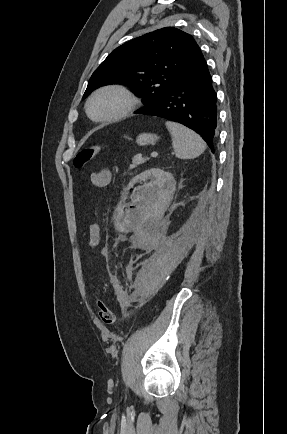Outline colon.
I'll list each match as a JSON object with an SVG mask.
<instances>
[{"mask_svg":"<svg viewBox=\"0 0 287 434\" xmlns=\"http://www.w3.org/2000/svg\"><path fill=\"white\" fill-rule=\"evenodd\" d=\"M103 148L104 146L99 144L83 147L74 158V166L78 169L85 167ZM98 316L107 326L112 325L116 319L114 311L102 300L98 302Z\"/></svg>","mask_w":287,"mask_h":434,"instance_id":"obj_1","label":"colon"}]
</instances>
